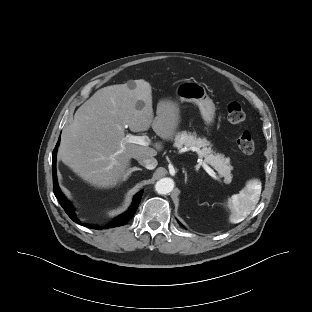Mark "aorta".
<instances>
[{
  "label": "aorta",
  "mask_w": 312,
  "mask_h": 312,
  "mask_svg": "<svg viewBox=\"0 0 312 312\" xmlns=\"http://www.w3.org/2000/svg\"><path fill=\"white\" fill-rule=\"evenodd\" d=\"M174 188V181L171 178H162L155 184V190L158 194H168Z\"/></svg>",
  "instance_id": "1"
}]
</instances>
